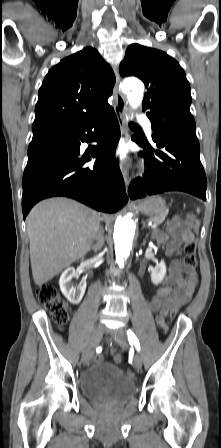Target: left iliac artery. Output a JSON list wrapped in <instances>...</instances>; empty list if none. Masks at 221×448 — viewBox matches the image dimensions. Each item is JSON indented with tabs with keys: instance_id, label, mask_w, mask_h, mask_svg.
<instances>
[{
	"instance_id": "left-iliac-artery-1",
	"label": "left iliac artery",
	"mask_w": 221,
	"mask_h": 448,
	"mask_svg": "<svg viewBox=\"0 0 221 448\" xmlns=\"http://www.w3.org/2000/svg\"><path fill=\"white\" fill-rule=\"evenodd\" d=\"M128 341L130 345H134L135 348L139 351L140 350V343L136 335L131 331H127Z\"/></svg>"
}]
</instances>
